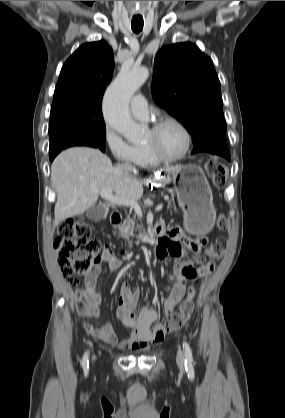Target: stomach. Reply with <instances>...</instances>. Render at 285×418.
<instances>
[{
    "label": "stomach",
    "instance_id": "obj_1",
    "mask_svg": "<svg viewBox=\"0 0 285 418\" xmlns=\"http://www.w3.org/2000/svg\"><path fill=\"white\" fill-rule=\"evenodd\" d=\"M175 184L184 213V227L191 234L208 233L215 221L212 191L200 166L189 164L166 172Z\"/></svg>",
    "mask_w": 285,
    "mask_h": 418
}]
</instances>
